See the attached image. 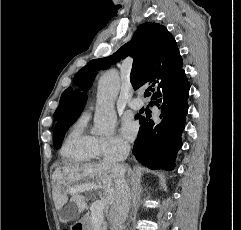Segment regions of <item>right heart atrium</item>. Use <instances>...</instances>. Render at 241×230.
<instances>
[{
	"mask_svg": "<svg viewBox=\"0 0 241 230\" xmlns=\"http://www.w3.org/2000/svg\"><path fill=\"white\" fill-rule=\"evenodd\" d=\"M97 148L100 156L117 157L125 155L129 150V144L121 137L114 135L98 138Z\"/></svg>",
	"mask_w": 241,
	"mask_h": 230,
	"instance_id": "right-heart-atrium-1",
	"label": "right heart atrium"
}]
</instances>
